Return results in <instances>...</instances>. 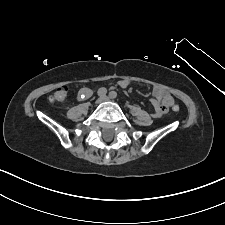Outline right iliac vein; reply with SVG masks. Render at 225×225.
Instances as JSON below:
<instances>
[{"instance_id": "63e3f726", "label": "right iliac vein", "mask_w": 225, "mask_h": 225, "mask_svg": "<svg viewBox=\"0 0 225 225\" xmlns=\"http://www.w3.org/2000/svg\"><path fill=\"white\" fill-rule=\"evenodd\" d=\"M103 99L100 97V98H98L97 100H96V104H100L101 103V101H102Z\"/></svg>"}]
</instances>
